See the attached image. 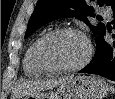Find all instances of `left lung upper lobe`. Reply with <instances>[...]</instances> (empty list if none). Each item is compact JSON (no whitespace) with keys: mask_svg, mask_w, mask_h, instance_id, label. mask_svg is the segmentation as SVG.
<instances>
[{"mask_svg":"<svg viewBox=\"0 0 115 99\" xmlns=\"http://www.w3.org/2000/svg\"><path fill=\"white\" fill-rule=\"evenodd\" d=\"M90 1L94 0H38L30 17L25 38L50 21L62 17H77L90 26L97 41L104 32L105 26L102 23L97 26L90 25L87 17H95L94 8L89 5ZM97 4L107 5L113 9L115 0H97Z\"/></svg>","mask_w":115,"mask_h":99,"instance_id":"5c2ea615","label":"left lung upper lobe"}]
</instances>
